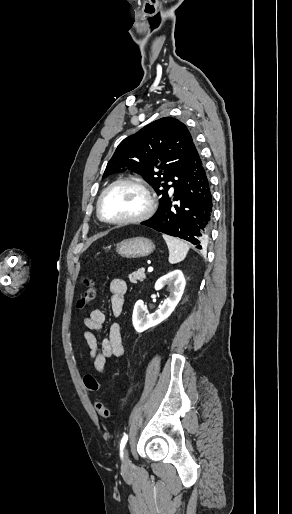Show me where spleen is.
Listing matches in <instances>:
<instances>
[{
  "label": "spleen",
  "instance_id": "1",
  "mask_svg": "<svg viewBox=\"0 0 292 514\" xmlns=\"http://www.w3.org/2000/svg\"><path fill=\"white\" fill-rule=\"evenodd\" d=\"M163 238L168 246L170 264H178V262L185 260L189 252V246L187 242H184V240H179V238L166 236V234H163Z\"/></svg>",
  "mask_w": 292,
  "mask_h": 514
}]
</instances>
